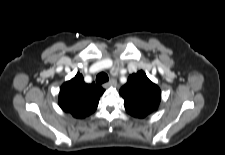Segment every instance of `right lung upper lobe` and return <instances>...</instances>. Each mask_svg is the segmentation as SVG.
Instances as JSON below:
<instances>
[{
    "label": "right lung upper lobe",
    "instance_id": "obj_1",
    "mask_svg": "<svg viewBox=\"0 0 225 155\" xmlns=\"http://www.w3.org/2000/svg\"><path fill=\"white\" fill-rule=\"evenodd\" d=\"M103 93L102 87L96 86L95 83H85L83 76L77 73L61 86L59 106L74 118H85L96 110Z\"/></svg>",
    "mask_w": 225,
    "mask_h": 155
}]
</instances>
